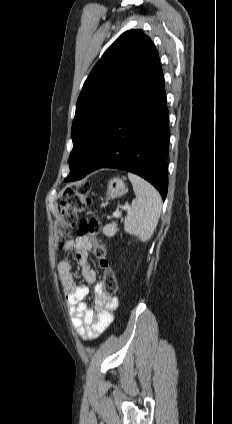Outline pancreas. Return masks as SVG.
<instances>
[{
    "instance_id": "cf45deb5",
    "label": "pancreas",
    "mask_w": 232,
    "mask_h": 424,
    "mask_svg": "<svg viewBox=\"0 0 232 424\" xmlns=\"http://www.w3.org/2000/svg\"><path fill=\"white\" fill-rule=\"evenodd\" d=\"M121 215L120 214H118V216H116V217H120ZM111 226L112 227H114V229L115 230H117V223L116 222H113L112 224H111Z\"/></svg>"
}]
</instances>
